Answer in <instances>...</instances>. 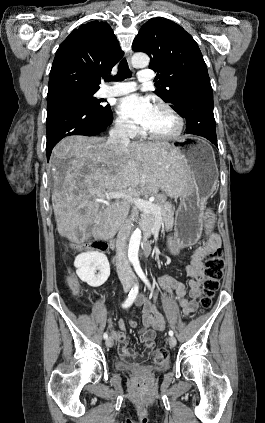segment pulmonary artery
I'll list each match as a JSON object with an SVG mask.
<instances>
[{
    "instance_id": "e3ab8cb5",
    "label": "pulmonary artery",
    "mask_w": 265,
    "mask_h": 423,
    "mask_svg": "<svg viewBox=\"0 0 265 423\" xmlns=\"http://www.w3.org/2000/svg\"><path fill=\"white\" fill-rule=\"evenodd\" d=\"M155 78L153 72L143 69L138 74V80L143 83H151ZM136 89L134 82H118L111 86H107L101 90V95L104 97L121 96L133 92Z\"/></svg>"
}]
</instances>
